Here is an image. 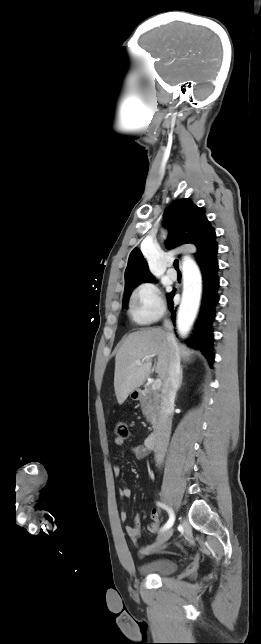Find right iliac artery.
<instances>
[{
	"label": "right iliac artery",
	"instance_id": "obj_1",
	"mask_svg": "<svg viewBox=\"0 0 261 644\" xmlns=\"http://www.w3.org/2000/svg\"><path fill=\"white\" fill-rule=\"evenodd\" d=\"M158 505L161 506L162 508H165L169 513V520L167 521V523L162 528V530L164 531V530L169 529L173 525V523L175 521V516H174L173 511L171 509H169L168 507H166L164 504L158 503Z\"/></svg>",
	"mask_w": 261,
	"mask_h": 644
}]
</instances>
